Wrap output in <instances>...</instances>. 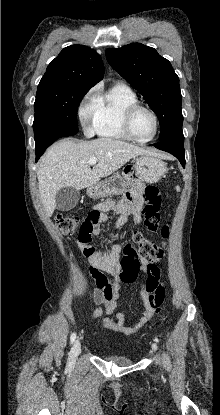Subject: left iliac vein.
Wrapping results in <instances>:
<instances>
[{
	"mask_svg": "<svg viewBox=\"0 0 220 415\" xmlns=\"http://www.w3.org/2000/svg\"><path fill=\"white\" fill-rule=\"evenodd\" d=\"M152 350L156 351L157 350V344L156 343H152Z\"/></svg>",
	"mask_w": 220,
	"mask_h": 415,
	"instance_id": "left-iliac-vein-1",
	"label": "left iliac vein"
}]
</instances>
